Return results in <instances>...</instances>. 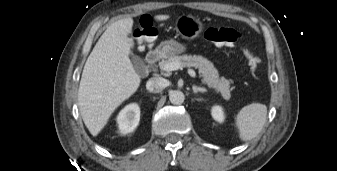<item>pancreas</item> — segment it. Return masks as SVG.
<instances>
[{"instance_id":"cf45deb5","label":"pancreas","mask_w":337,"mask_h":171,"mask_svg":"<svg viewBox=\"0 0 337 171\" xmlns=\"http://www.w3.org/2000/svg\"><path fill=\"white\" fill-rule=\"evenodd\" d=\"M170 62L178 63L180 68H198L204 84H207L209 88H214L217 92H220L225 100H228L231 97L230 83L232 81L227 80L224 77H219L218 71L213 63L206 58L197 55L172 56L166 60L162 59L159 62L160 69L164 70V66Z\"/></svg>"}]
</instances>
